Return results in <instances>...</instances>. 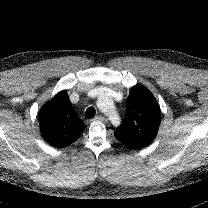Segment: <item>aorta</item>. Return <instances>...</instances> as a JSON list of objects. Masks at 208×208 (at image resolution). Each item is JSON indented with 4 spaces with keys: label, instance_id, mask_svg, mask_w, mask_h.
I'll return each instance as SVG.
<instances>
[{
    "label": "aorta",
    "instance_id": "762f6f07",
    "mask_svg": "<svg viewBox=\"0 0 208 208\" xmlns=\"http://www.w3.org/2000/svg\"><path fill=\"white\" fill-rule=\"evenodd\" d=\"M97 106L105 114L110 116V118H113V117L116 116V112H115V107H114L113 101L111 100V98L107 94L102 93L99 96L98 101H97Z\"/></svg>",
    "mask_w": 208,
    "mask_h": 208
}]
</instances>
